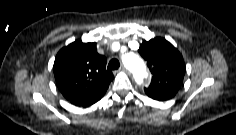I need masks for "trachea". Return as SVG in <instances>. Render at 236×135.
Listing matches in <instances>:
<instances>
[{
	"label": "trachea",
	"instance_id": "trachea-1",
	"mask_svg": "<svg viewBox=\"0 0 236 135\" xmlns=\"http://www.w3.org/2000/svg\"><path fill=\"white\" fill-rule=\"evenodd\" d=\"M120 67V63L117 59H112L108 64L109 70H117Z\"/></svg>",
	"mask_w": 236,
	"mask_h": 135
}]
</instances>
